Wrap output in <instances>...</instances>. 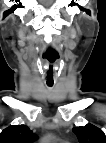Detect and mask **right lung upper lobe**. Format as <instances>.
I'll return each mask as SVG.
<instances>
[{
	"instance_id": "cb5924a9",
	"label": "right lung upper lobe",
	"mask_w": 106,
	"mask_h": 143,
	"mask_svg": "<svg viewBox=\"0 0 106 143\" xmlns=\"http://www.w3.org/2000/svg\"><path fill=\"white\" fill-rule=\"evenodd\" d=\"M37 136L26 125H13L0 133V143H33Z\"/></svg>"
}]
</instances>
